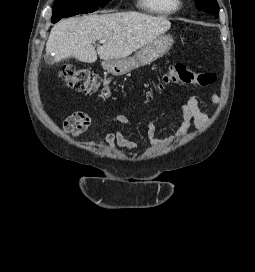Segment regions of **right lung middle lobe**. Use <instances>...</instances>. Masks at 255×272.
I'll use <instances>...</instances> for the list:
<instances>
[{
    "mask_svg": "<svg viewBox=\"0 0 255 272\" xmlns=\"http://www.w3.org/2000/svg\"><path fill=\"white\" fill-rule=\"evenodd\" d=\"M111 0H56L53 8L52 22L77 14L91 13L104 7Z\"/></svg>",
    "mask_w": 255,
    "mask_h": 272,
    "instance_id": "obj_1",
    "label": "right lung middle lobe"
}]
</instances>
